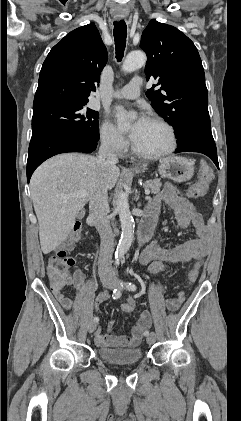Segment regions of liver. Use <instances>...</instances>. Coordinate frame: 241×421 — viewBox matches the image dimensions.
Masks as SVG:
<instances>
[{
    "mask_svg": "<svg viewBox=\"0 0 241 421\" xmlns=\"http://www.w3.org/2000/svg\"><path fill=\"white\" fill-rule=\"evenodd\" d=\"M119 175L118 167L102 168L96 157L81 153L54 156L36 169L30 191L44 254L56 249L67 238L79 211L99 190H111ZM77 191H83L87 196L63 198Z\"/></svg>",
    "mask_w": 241,
    "mask_h": 421,
    "instance_id": "liver-1",
    "label": "liver"
}]
</instances>
